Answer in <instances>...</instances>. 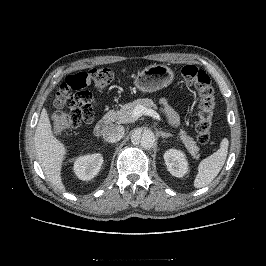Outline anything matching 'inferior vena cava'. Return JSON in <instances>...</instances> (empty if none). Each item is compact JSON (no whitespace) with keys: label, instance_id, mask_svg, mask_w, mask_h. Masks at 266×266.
Wrapping results in <instances>:
<instances>
[{"label":"inferior vena cava","instance_id":"1","mask_svg":"<svg viewBox=\"0 0 266 266\" xmlns=\"http://www.w3.org/2000/svg\"><path fill=\"white\" fill-rule=\"evenodd\" d=\"M124 135V127L121 125H110L103 134L105 141L110 143L118 142Z\"/></svg>","mask_w":266,"mask_h":266}]
</instances>
